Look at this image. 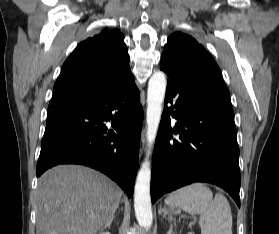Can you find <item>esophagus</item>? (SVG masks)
<instances>
[{
	"label": "esophagus",
	"mask_w": 279,
	"mask_h": 234,
	"mask_svg": "<svg viewBox=\"0 0 279 234\" xmlns=\"http://www.w3.org/2000/svg\"><path fill=\"white\" fill-rule=\"evenodd\" d=\"M141 141H142V146L144 148V145H145V130H143V132H142Z\"/></svg>",
	"instance_id": "obj_1"
}]
</instances>
